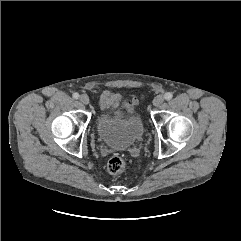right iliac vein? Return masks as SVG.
<instances>
[{
	"mask_svg": "<svg viewBox=\"0 0 241 241\" xmlns=\"http://www.w3.org/2000/svg\"><path fill=\"white\" fill-rule=\"evenodd\" d=\"M79 100L82 104H85V105L89 103V97L86 94H82L79 97Z\"/></svg>",
	"mask_w": 241,
	"mask_h": 241,
	"instance_id": "63e3f726",
	"label": "right iliac vein"
}]
</instances>
